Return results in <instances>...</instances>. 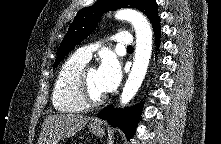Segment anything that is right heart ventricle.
I'll return each mask as SVG.
<instances>
[{
	"instance_id": "1",
	"label": "right heart ventricle",
	"mask_w": 221,
	"mask_h": 144,
	"mask_svg": "<svg viewBox=\"0 0 221 144\" xmlns=\"http://www.w3.org/2000/svg\"><path fill=\"white\" fill-rule=\"evenodd\" d=\"M86 64V60L74 54L60 67L52 92V103L57 111L78 113L88 107L81 101L77 91L78 75Z\"/></svg>"
}]
</instances>
